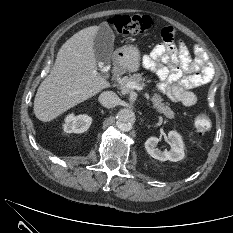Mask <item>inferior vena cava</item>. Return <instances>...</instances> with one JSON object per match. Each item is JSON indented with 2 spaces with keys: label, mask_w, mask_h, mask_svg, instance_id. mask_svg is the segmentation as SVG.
Segmentation results:
<instances>
[{
  "label": "inferior vena cava",
  "mask_w": 233,
  "mask_h": 233,
  "mask_svg": "<svg viewBox=\"0 0 233 233\" xmlns=\"http://www.w3.org/2000/svg\"><path fill=\"white\" fill-rule=\"evenodd\" d=\"M100 103L107 108H113L118 104L119 97L112 91H105L99 96Z\"/></svg>",
  "instance_id": "inferior-vena-cava-1"
}]
</instances>
